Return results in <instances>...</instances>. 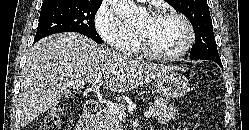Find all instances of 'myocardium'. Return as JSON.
Segmentation results:
<instances>
[{
    "label": "myocardium",
    "instance_id": "1",
    "mask_svg": "<svg viewBox=\"0 0 249 130\" xmlns=\"http://www.w3.org/2000/svg\"><path fill=\"white\" fill-rule=\"evenodd\" d=\"M151 15L154 17L171 16V17L179 19L186 28L187 37L184 43L182 44V46L178 50L171 52V53H167V54H160V53H156L152 51L149 48L143 35L137 31L136 35L138 39V45L143 55L155 61H171V60H175V59H178L184 56L189 51V49L192 47L195 41V30H194V27L191 21L184 14L174 9H160V10L153 12Z\"/></svg>",
    "mask_w": 249,
    "mask_h": 130
}]
</instances>
